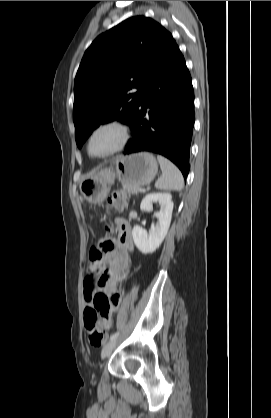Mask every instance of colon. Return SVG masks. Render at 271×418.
Segmentation results:
<instances>
[{
	"label": "colon",
	"instance_id": "5ec220e1",
	"mask_svg": "<svg viewBox=\"0 0 271 418\" xmlns=\"http://www.w3.org/2000/svg\"><path fill=\"white\" fill-rule=\"evenodd\" d=\"M125 204L126 195L122 191H116L109 197L108 205L113 210H121ZM113 249L114 245L110 240L102 241L98 247L92 248L90 252L91 262H100L102 260L103 253L110 252ZM102 277H105V274ZM108 305V298L103 294L98 293L94 299V307L85 312L84 323L87 329L89 343L93 347H100L104 343L105 328L104 324L100 320V313L106 310Z\"/></svg>",
	"mask_w": 271,
	"mask_h": 418
}]
</instances>
